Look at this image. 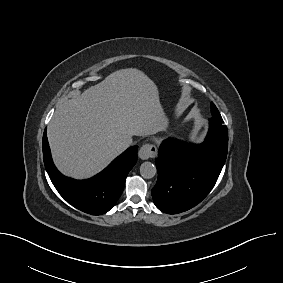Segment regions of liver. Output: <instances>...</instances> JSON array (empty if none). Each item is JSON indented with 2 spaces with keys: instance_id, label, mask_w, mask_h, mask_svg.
<instances>
[{
  "instance_id": "obj_1",
  "label": "liver",
  "mask_w": 283,
  "mask_h": 283,
  "mask_svg": "<svg viewBox=\"0 0 283 283\" xmlns=\"http://www.w3.org/2000/svg\"><path fill=\"white\" fill-rule=\"evenodd\" d=\"M165 121L157 86L128 68L61 104L49 123L48 140L57 168L84 179L124 151L119 144L124 135L156 134Z\"/></svg>"
}]
</instances>
